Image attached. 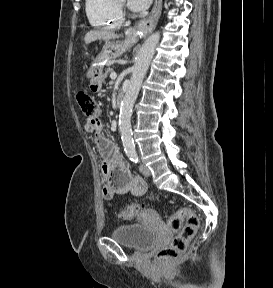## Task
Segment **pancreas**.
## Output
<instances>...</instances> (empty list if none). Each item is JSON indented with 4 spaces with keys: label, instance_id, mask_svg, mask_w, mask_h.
<instances>
[{
    "label": "pancreas",
    "instance_id": "obj_1",
    "mask_svg": "<svg viewBox=\"0 0 273 288\" xmlns=\"http://www.w3.org/2000/svg\"><path fill=\"white\" fill-rule=\"evenodd\" d=\"M112 72H113V69L110 68V67H108V68L105 70V72L102 74V80H103L104 83H105V79L107 78L108 74H109V73H112Z\"/></svg>",
    "mask_w": 273,
    "mask_h": 288
}]
</instances>
